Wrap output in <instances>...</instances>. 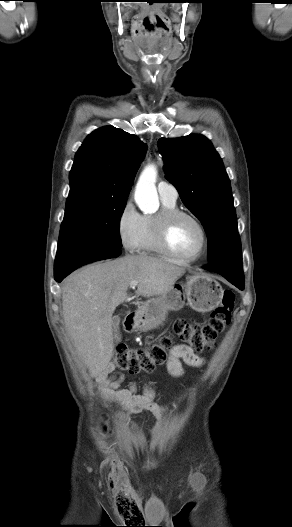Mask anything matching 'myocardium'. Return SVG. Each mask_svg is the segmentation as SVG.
Returning <instances> with one entry per match:
<instances>
[{
  "mask_svg": "<svg viewBox=\"0 0 292 527\" xmlns=\"http://www.w3.org/2000/svg\"><path fill=\"white\" fill-rule=\"evenodd\" d=\"M180 217L191 219L198 226L201 236L202 244L197 254L192 257H184L179 255L170 245L169 233L170 228L175 220ZM154 235L160 250L168 257L182 263H194L201 259L207 252L209 245L208 233L203 222L193 213L181 209L161 210L154 216Z\"/></svg>",
  "mask_w": 292,
  "mask_h": 527,
  "instance_id": "obj_1",
  "label": "myocardium"
}]
</instances>
